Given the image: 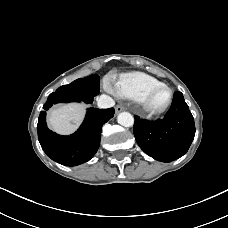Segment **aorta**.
I'll use <instances>...</instances> for the list:
<instances>
[{"instance_id":"obj_1","label":"aorta","mask_w":228,"mask_h":228,"mask_svg":"<svg viewBox=\"0 0 228 228\" xmlns=\"http://www.w3.org/2000/svg\"><path fill=\"white\" fill-rule=\"evenodd\" d=\"M117 121L120 125L124 127H131L134 124L133 116L128 112H121L117 116Z\"/></svg>"}]
</instances>
